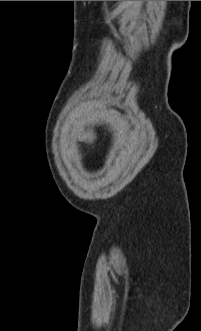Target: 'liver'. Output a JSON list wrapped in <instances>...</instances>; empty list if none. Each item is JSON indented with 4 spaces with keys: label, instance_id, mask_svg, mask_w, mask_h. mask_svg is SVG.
Returning <instances> with one entry per match:
<instances>
[{
    "label": "liver",
    "instance_id": "1",
    "mask_svg": "<svg viewBox=\"0 0 201 331\" xmlns=\"http://www.w3.org/2000/svg\"><path fill=\"white\" fill-rule=\"evenodd\" d=\"M69 126L71 127L72 132H77L81 141H85L86 143H92L94 141L96 136L93 131H87L86 133H83V131L79 128L78 124L75 123L73 120L69 121Z\"/></svg>",
    "mask_w": 201,
    "mask_h": 331
}]
</instances>
